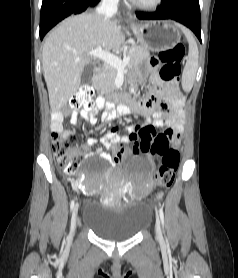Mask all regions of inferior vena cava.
Listing matches in <instances>:
<instances>
[{
	"label": "inferior vena cava",
	"instance_id": "1",
	"mask_svg": "<svg viewBox=\"0 0 238 278\" xmlns=\"http://www.w3.org/2000/svg\"><path fill=\"white\" fill-rule=\"evenodd\" d=\"M119 0H102L97 8V13L103 16L113 15L117 12Z\"/></svg>",
	"mask_w": 238,
	"mask_h": 278
}]
</instances>
